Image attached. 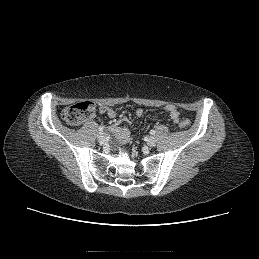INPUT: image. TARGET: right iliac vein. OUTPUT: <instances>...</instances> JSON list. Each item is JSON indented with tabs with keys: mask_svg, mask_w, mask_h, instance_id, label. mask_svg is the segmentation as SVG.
<instances>
[{
	"mask_svg": "<svg viewBox=\"0 0 259 259\" xmlns=\"http://www.w3.org/2000/svg\"><path fill=\"white\" fill-rule=\"evenodd\" d=\"M98 141L100 143H104L106 141V135L104 133H99L98 135Z\"/></svg>",
	"mask_w": 259,
	"mask_h": 259,
	"instance_id": "right-iliac-vein-1",
	"label": "right iliac vein"
}]
</instances>
